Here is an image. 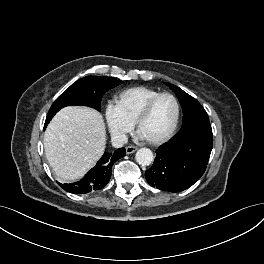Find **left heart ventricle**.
I'll return each instance as SVG.
<instances>
[{"label":"left heart ventricle","mask_w":264,"mask_h":264,"mask_svg":"<svg viewBox=\"0 0 264 264\" xmlns=\"http://www.w3.org/2000/svg\"><path fill=\"white\" fill-rule=\"evenodd\" d=\"M176 106L169 96L161 97L153 106L151 113L142 123L140 134L144 138L154 139L164 135L172 126Z\"/></svg>","instance_id":"b2bd125f"}]
</instances>
